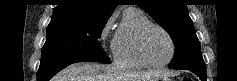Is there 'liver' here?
Segmentation results:
<instances>
[{
	"instance_id": "1",
	"label": "liver",
	"mask_w": 237,
	"mask_h": 81,
	"mask_svg": "<svg viewBox=\"0 0 237 81\" xmlns=\"http://www.w3.org/2000/svg\"><path fill=\"white\" fill-rule=\"evenodd\" d=\"M164 74L161 70L124 72L112 65L79 62L63 69L54 81H151Z\"/></svg>"
}]
</instances>
